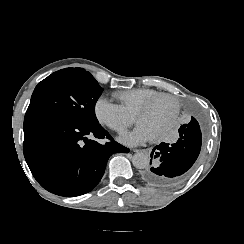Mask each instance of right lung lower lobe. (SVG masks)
I'll use <instances>...</instances> for the list:
<instances>
[{"instance_id":"obj_1","label":"right lung lower lobe","mask_w":244,"mask_h":244,"mask_svg":"<svg viewBox=\"0 0 244 244\" xmlns=\"http://www.w3.org/2000/svg\"><path fill=\"white\" fill-rule=\"evenodd\" d=\"M108 138L105 145L88 138ZM23 152L38 183L60 196L91 191L109 157L129 149L115 142L99 123L84 125L45 112H26Z\"/></svg>"}]
</instances>
